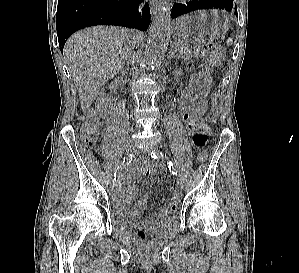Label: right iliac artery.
Wrapping results in <instances>:
<instances>
[{"label":"right iliac artery","mask_w":299,"mask_h":273,"mask_svg":"<svg viewBox=\"0 0 299 273\" xmlns=\"http://www.w3.org/2000/svg\"><path fill=\"white\" fill-rule=\"evenodd\" d=\"M133 160V155L129 154L127 156L124 157V159L122 160V162L120 163V165L118 166V168L116 169L115 173H114V180L116 181V178L118 177V175L120 174V172L131 163V161Z\"/></svg>","instance_id":"obj_1"}]
</instances>
